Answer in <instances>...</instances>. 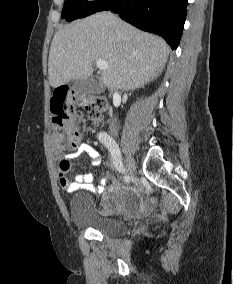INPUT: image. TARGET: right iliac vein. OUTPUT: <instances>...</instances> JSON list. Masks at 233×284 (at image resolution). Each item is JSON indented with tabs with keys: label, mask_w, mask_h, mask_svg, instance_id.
Instances as JSON below:
<instances>
[{
	"label": "right iliac vein",
	"mask_w": 233,
	"mask_h": 284,
	"mask_svg": "<svg viewBox=\"0 0 233 284\" xmlns=\"http://www.w3.org/2000/svg\"><path fill=\"white\" fill-rule=\"evenodd\" d=\"M125 162H126V168L128 171V177H135L134 170L136 168V165H135L134 160L130 156H127Z\"/></svg>",
	"instance_id": "1"
}]
</instances>
